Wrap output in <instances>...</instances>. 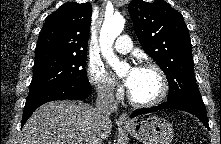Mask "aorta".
Returning <instances> with one entry per match:
<instances>
[{
    "mask_svg": "<svg viewBox=\"0 0 221 144\" xmlns=\"http://www.w3.org/2000/svg\"><path fill=\"white\" fill-rule=\"evenodd\" d=\"M125 25V19L121 15L105 18L99 36L101 53L107 63L113 68L118 76H122L128 68V64L121 62L113 52V43L120 35Z\"/></svg>",
    "mask_w": 221,
    "mask_h": 144,
    "instance_id": "obj_1",
    "label": "aorta"
}]
</instances>
